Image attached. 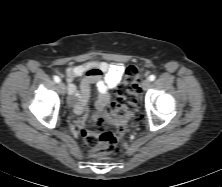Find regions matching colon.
<instances>
[{
  "instance_id": "colon-1",
  "label": "colon",
  "mask_w": 222,
  "mask_h": 187,
  "mask_svg": "<svg viewBox=\"0 0 222 187\" xmlns=\"http://www.w3.org/2000/svg\"><path fill=\"white\" fill-rule=\"evenodd\" d=\"M139 103L138 66L130 64L126 68L124 81L118 88L116 100L106 111L107 118L116 125L117 131H103L100 125L91 130H83L84 154L88 157H99L117 153L118 137L124 132V126L141 117Z\"/></svg>"
}]
</instances>
